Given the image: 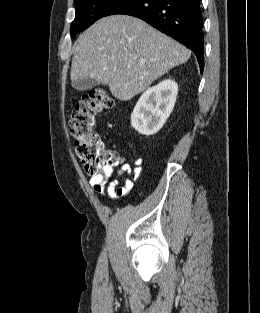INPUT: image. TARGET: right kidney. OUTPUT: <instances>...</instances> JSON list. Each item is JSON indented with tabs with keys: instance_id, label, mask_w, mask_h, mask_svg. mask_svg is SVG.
I'll use <instances>...</instances> for the list:
<instances>
[{
	"instance_id": "right-kidney-1",
	"label": "right kidney",
	"mask_w": 260,
	"mask_h": 313,
	"mask_svg": "<svg viewBox=\"0 0 260 313\" xmlns=\"http://www.w3.org/2000/svg\"><path fill=\"white\" fill-rule=\"evenodd\" d=\"M177 93L178 85L171 79H165L148 88L134 107L131 126L146 136L157 133L170 116Z\"/></svg>"
}]
</instances>
